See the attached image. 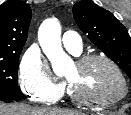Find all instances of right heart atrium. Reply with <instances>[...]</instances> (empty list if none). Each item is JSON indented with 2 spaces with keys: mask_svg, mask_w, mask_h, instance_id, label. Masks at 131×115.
Wrapping results in <instances>:
<instances>
[{
  "mask_svg": "<svg viewBox=\"0 0 131 115\" xmlns=\"http://www.w3.org/2000/svg\"><path fill=\"white\" fill-rule=\"evenodd\" d=\"M19 86L31 100L49 104L55 101L62 92V87L54 84L49 77L47 66L41 56L27 52L19 67Z\"/></svg>",
  "mask_w": 131,
  "mask_h": 115,
  "instance_id": "1",
  "label": "right heart atrium"
}]
</instances>
